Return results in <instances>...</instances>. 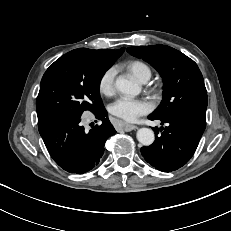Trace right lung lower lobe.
I'll list each match as a JSON object with an SVG mask.
<instances>
[{"label": "right lung lower lobe", "instance_id": "right-lung-lower-lobe-1", "mask_svg": "<svg viewBox=\"0 0 231 231\" xmlns=\"http://www.w3.org/2000/svg\"><path fill=\"white\" fill-rule=\"evenodd\" d=\"M94 115L102 124L89 132L81 125V118H57L39 125L49 154L65 171L83 174L94 168L104 153L106 140L114 135L105 108Z\"/></svg>", "mask_w": 231, "mask_h": 231}]
</instances>
